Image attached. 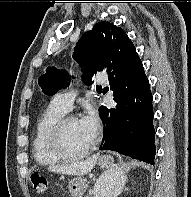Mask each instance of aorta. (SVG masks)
<instances>
[{"label":"aorta","mask_w":191,"mask_h":197,"mask_svg":"<svg viewBox=\"0 0 191 197\" xmlns=\"http://www.w3.org/2000/svg\"><path fill=\"white\" fill-rule=\"evenodd\" d=\"M107 176H108V178H110V175L109 174H107ZM98 186H99V184H98ZM96 195H97L96 197H98L99 195H101L100 190L97 191Z\"/></svg>","instance_id":"762f6f07"}]
</instances>
